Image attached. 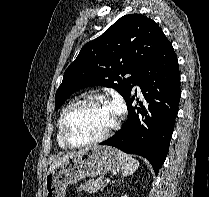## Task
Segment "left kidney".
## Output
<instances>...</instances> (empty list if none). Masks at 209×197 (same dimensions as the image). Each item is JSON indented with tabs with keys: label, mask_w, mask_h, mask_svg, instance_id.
I'll return each instance as SVG.
<instances>
[{
	"label": "left kidney",
	"mask_w": 209,
	"mask_h": 197,
	"mask_svg": "<svg viewBox=\"0 0 209 197\" xmlns=\"http://www.w3.org/2000/svg\"><path fill=\"white\" fill-rule=\"evenodd\" d=\"M121 197H128L127 195L121 196Z\"/></svg>",
	"instance_id": "1"
}]
</instances>
